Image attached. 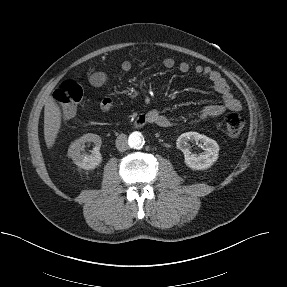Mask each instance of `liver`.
Wrapping results in <instances>:
<instances>
[{
  "label": "liver",
  "mask_w": 287,
  "mask_h": 287,
  "mask_svg": "<svg viewBox=\"0 0 287 287\" xmlns=\"http://www.w3.org/2000/svg\"><path fill=\"white\" fill-rule=\"evenodd\" d=\"M60 127L61 111L50 96L47 98L44 107V139L48 149L54 145Z\"/></svg>",
  "instance_id": "obj_1"
}]
</instances>
